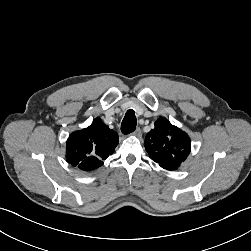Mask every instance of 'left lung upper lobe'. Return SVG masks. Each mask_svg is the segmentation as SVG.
I'll use <instances>...</instances> for the list:
<instances>
[{
  "label": "left lung upper lobe",
  "mask_w": 251,
  "mask_h": 251,
  "mask_svg": "<svg viewBox=\"0 0 251 251\" xmlns=\"http://www.w3.org/2000/svg\"><path fill=\"white\" fill-rule=\"evenodd\" d=\"M144 146L149 157L167 170H176L191 149L189 136L164 117L147 133Z\"/></svg>",
  "instance_id": "left-lung-upper-lobe-1"
}]
</instances>
